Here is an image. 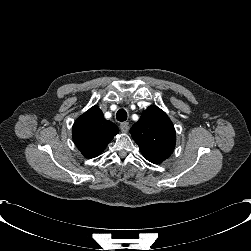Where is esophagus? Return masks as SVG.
<instances>
[{
  "label": "esophagus",
  "mask_w": 251,
  "mask_h": 251,
  "mask_svg": "<svg viewBox=\"0 0 251 251\" xmlns=\"http://www.w3.org/2000/svg\"><path fill=\"white\" fill-rule=\"evenodd\" d=\"M120 129L123 133H127L129 130V124L127 122H122L120 124Z\"/></svg>",
  "instance_id": "esophagus-1"
}]
</instances>
